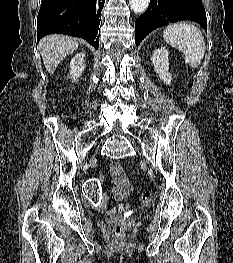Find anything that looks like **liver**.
<instances>
[{"instance_id": "liver-1", "label": "liver", "mask_w": 233, "mask_h": 263, "mask_svg": "<svg viewBox=\"0 0 233 263\" xmlns=\"http://www.w3.org/2000/svg\"><path fill=\"white\" fill-rule=\"evenodd\" d=\"M78 41L75 38L65 35H48L43 37L38 49L43 59L46 70L52 74L58 64L78 48Z\"/></svg>"}]
</instances>
